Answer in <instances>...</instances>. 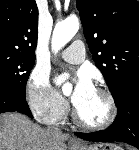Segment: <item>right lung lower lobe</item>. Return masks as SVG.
<instances>
[{
  "label": "right lung lower lobe",
  "instance_id": "right-lung-lower-lobe-1",
  "mask_svg": "<svg viewBox=\"0 0 139 150\" xmlns=\"http://www.w3.org/2000/svg\"><path fill=\"white\" fill-rule=\"evenodd\" d=\"M16 111L33 118L29 106L26 102L25 95L0 89V113Z\"/></svg>",
  "mask_w": 139,
  "mask_h": 150
}]
</instances>
